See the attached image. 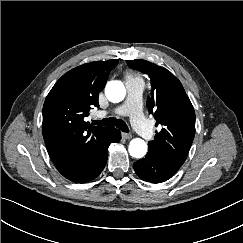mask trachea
I'll list each match as a JSON object with an SVG mask.
<instances>
[{
  "instance_id": "3493384b",
  "label": "trachea",
  "mask_w": 243,
  "mask_h": 243,
  "mask_svg": "<svg viewBox=\"0 0 243 243\" xmlns=\"http://www.w3.org/2000/svg\"><path fill=\"white\" fill-rule=\"evenodd\" d=\"M93 124L97 125V126H107V127L116 126L119 130H121L123 132L129 131L128 126L126 125V123L123 120L116 119L113 117L105 118V119H102L101 121L94 120Z\"/></svg>"
}]
</instances>
